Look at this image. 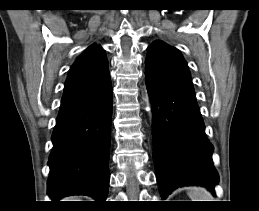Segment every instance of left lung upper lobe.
Returning a JSON list of instances; mask_svg holds the SVG:
<instances>
[{"label": "left lung upper lobe", "mask_w": 259, "mask_h": 211, "mask_svg": "<svg viewBox=\"0 0 259 211\" xmlns=\"http://www.w3.org/2000/svg\"><path fill=\"white\" fill-rule=\"evenodd\" d=\"M147 49V79L167 88L194 92L187 64L176 48L163 41H155Z\"/></svg>", "instance_id": "obj_1"}]
</instances>
